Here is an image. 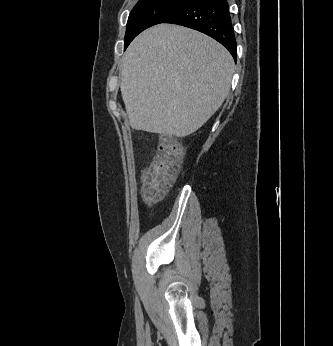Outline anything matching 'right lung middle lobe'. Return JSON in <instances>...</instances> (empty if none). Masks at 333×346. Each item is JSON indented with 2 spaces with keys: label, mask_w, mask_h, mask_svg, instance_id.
<instances>
[{
  "label": "right lung middle lobe",
  "mask_w": 333,
  "mask_h": 346,
  "mask_svg": "<svg viewBox=\"0 0 333 346\" xmlns=\"http://www.w3.org/2000/svg\"><path fill=\"white\" fill-rule=\"evenodd\" d=\"M185 0H139L131 11L124 39V50L143 30L163 23Z\"/></svg>",
  "instance_id": "obj_1"
}]
</instances>
